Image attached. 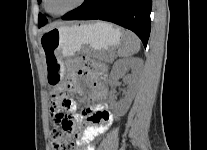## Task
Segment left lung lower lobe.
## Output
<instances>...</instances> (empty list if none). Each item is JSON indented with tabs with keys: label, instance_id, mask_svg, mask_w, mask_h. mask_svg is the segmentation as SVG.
<instances>
[{
	"label": "left lung lower lobe",
	"instance_id": "obj_1",
	"mask_svg": "<svg viewBox=\"0 0 207 150\" xmlns=\"http://www.w3.org/2000/svg\"><path fill=\"white\" fill-rule=\"evenodd\" d=\"M152 0H86L63 20H104L138 35L146 47L150 35Z\"/></svg>",
	"mask_w": 207,
	"mask_h": 150
}]
</instances>
